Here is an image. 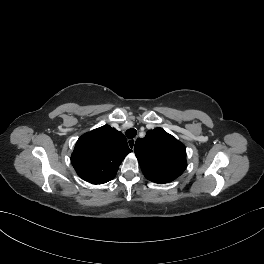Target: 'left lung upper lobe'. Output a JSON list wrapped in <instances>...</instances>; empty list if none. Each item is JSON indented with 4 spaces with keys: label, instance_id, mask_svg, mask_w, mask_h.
I'll return each instance as SVG.
<instances>
[{
    "label": "left lung upper lobe",
    "instance_id": "left-lung-upper-lobe-1",
    "mask_svg": "<svg viewBox=\"0 0 264 264\" xmlns=\"http://www.w3.org/2000/svg\"><path fill=\"white\" fill-rule=\"evenodd\" d=\"M134 150L144 176L152 182H170L187 167L185 146L162 128L138 138Z\"/></svg>",
    "mask_w": 264,
    "mask_h": 264
}]
</instances>
